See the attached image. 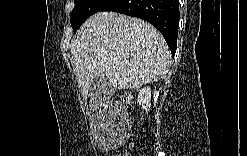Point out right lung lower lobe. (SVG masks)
Wrapping results in <instances>:
<instances>
[{
	"mask_svg": "<svg viewBox=\"0 0 247 156\" xmlns=\"http://www.w3.org/2000/svg\"><path fill=\"white\" fill-rule=\"evenodd\" d=\"M99 11H114L150 22L165 38L172 55L176 52L179 0H107Z\"/></svg>",
	"mask_w": 247,
	"mask_h": 156,
	"instance_id": "obj_1",
	"label": "right lung lower lobe"
}]
</instances>
